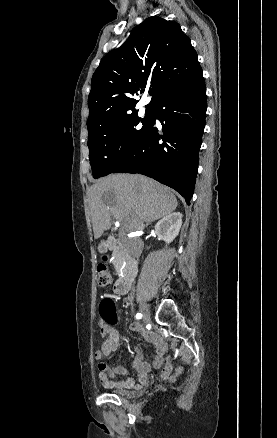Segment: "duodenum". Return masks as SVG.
Returning a JSON list of instances; mask_svg holds the SVG:
<instances>
[{
    "label": "duodenum",
    "instance_id": "duodenum-1",
    "mask_svg": "<svg viewBox=\"0 0 277 438\" xmlns=\"http://www.w3.org/2000/svg\"><path fill=\"white\" fill-rule=\"evenodd\" d=\"M100 249L101 251L123 250L127 253L123 274L118 279L115 285V290L117 294L119 295L127 294L131 289V286L133 284V281L137 273V260L132 255L129 254L127 248H125L123 245H121L117 240L113 238L105 240L100 245Z\"/></svg>",
    "mask_w": 277,
    "mask_h": 438
}]
</instances>
